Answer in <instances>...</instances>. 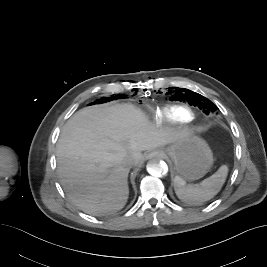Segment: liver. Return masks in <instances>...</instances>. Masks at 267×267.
I'll list each match as a JSON object with an SVG mask.
<instances>
[{"instance_id": "liver-1", "label": "liver", "mask_w": 267, "mask_h": 267, "mask_svg": "<svg viewBox=\"0 0 267 267\" xmlns=\"http://www.w3.org/2000/svg\"><path fill=\"white\" fill-rule=\"evenodd\" d=\"M184 132L159 128L133 105L93 106L77 111L57 144V171L69 199L81 210L104 215L121 210L129 196V168L142 151L176 141Z\"/></svg>"}]
</instances>
